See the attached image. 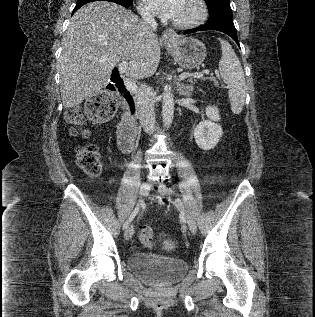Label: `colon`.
<instances>
[{"mask_svg":"<svg viewBox=\"0 0 315 317\" xmlns=\"http://www.w3.org/2000/svg\"><path fill=\"white\" fill-rule=\"evenodd\" d=\"M117 108V99L112 89H105L92 96L85 104V113L88 118L98 122L110 120ZM65 121L71 127V133L75 136L87 139L89 131L85 127V116L78 106L69 107L65 111ZM76 163L89 178H97L101 172V156L96 145L85 143L76 153ZM140 239L146 245H153L154 231L149 226H143L140 230Z\"/></svg>","mask_w":315,"mask_h":317,"instance_id":"1","label":"colon"}]
</instances>
